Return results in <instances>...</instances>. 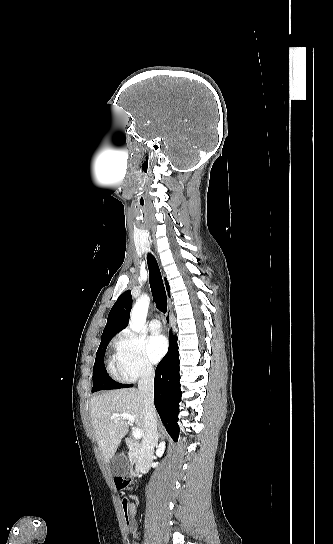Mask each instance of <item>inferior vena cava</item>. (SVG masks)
I'll return each instance as SVG.
<instances>
[{
  "instance_id": "1",
  "label": "inferior vena cava",
  "mask_w": 333,
  "mask_h": 544,
  "mask_svg": "<svg viewBox=\"0 0 333 544\" xmlns=\"http://www.w3.org/2000/svg\"><path fill=\"white\" fill-rule=\"evenodd\" d=\"M139 395L144 400L145 431L140 448L139 468L142 473H147L150 468L154 446L157 440V417L153 402L154 394V369L145 367L138 382Z\"/></svg>"
}]
</instances>
